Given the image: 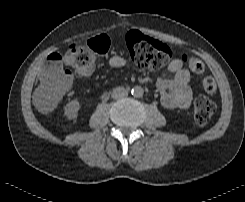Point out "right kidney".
Here are the masks:
<instances>
[{"label":"right kidney","mask_w":245,"mask_h":202,"mask_svg":"<svg viewBox=\"0 0 245 202\" xmlns=\"http://www.w3.org/2000/svg\"><path fill=\"white\" fill-rule=\"evenodd\" d=\"M79 109L80 103L77 99H74L65 106V115L69 120L75 119L77 117Z\"/></svg>","instance_id":"obj_1"}]
</instances>
